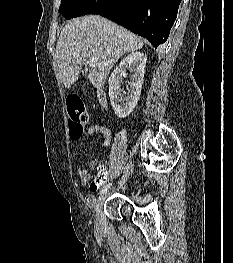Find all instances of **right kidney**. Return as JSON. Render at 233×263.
Wrapping results in <instances>:
<instances>
[{
    "label": "right kidney",
    "instance_id": "ca27d5eb",
    "mask_svg": "<svg viewBox=\"0 0 233 263\" xmlns=\"http://www.w3.org/2000/svg\"><path fill=\"white\" fill-rule=\"evenodd\" d=\"M146 61V54L133 52L119 63L108 80L111 105L119 118H126L137 105L142 89ZM126 69L133 74L130 77L128 94L123 95L120 92V85L123 83V77L127 76Z\"/></svg>",
    "mask_w": 233,
    "mask_h": 263
}]
</instances>
